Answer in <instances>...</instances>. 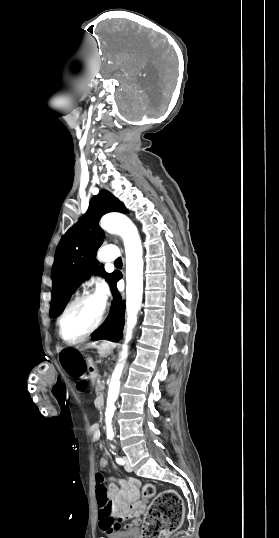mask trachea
Returning <instances> with one entry per match:
<instances>
[{"label":"trachea","mask_w":279,"mask_h":538,"mask_svg":"<svg viewBox=\"0 0 279 538\" xmlns=\"http://www.w3.org/2000/svg\"><path fill=\"white\" fill-rule=\"evenodd\" d=\"M114 263H115V264H122V260H121V258H117V260H115Z\"/></svg>","instance_id":"obj_1"}]
</instances>
